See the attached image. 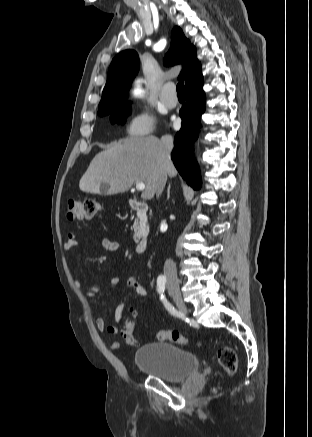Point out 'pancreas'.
<instances>
[{"mask_svg": "<svg viewBox=\"0 0 312 437\" xmlns=\"http://www.w3.org/2000/svg\"><path fill=\"white\" fill-rule=\"evenodd\" d=\"M132 229L134 230V239L138 240L145 235L148 226L145 222H139L138 219H135Z\"/></svg>", "mask_w": 312, "mask_h": 437, "instance_id": "cf45deb5", "label": "pancreas"}]
</instances>
